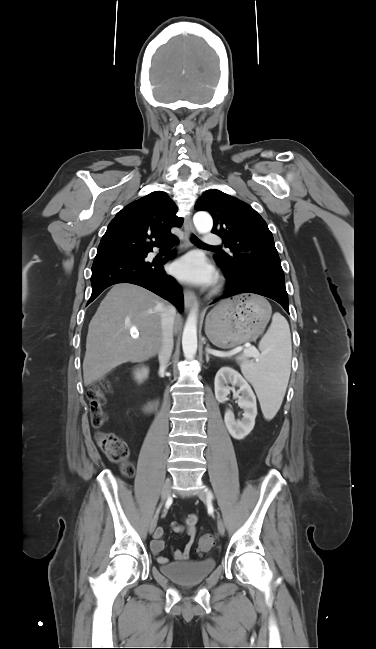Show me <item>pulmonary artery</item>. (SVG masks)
I'll list each match as a JSON object with an SVG mask.
<instances>
[{
  "label": "pulmonary artery",
  "instance_id": "1",
  "mask_svg": "<svg viewBox=\"0 0 376 649\" xmlns=\"http://www.w3.org/2000/svg\"><path fill=\"white\" fill-rule=\"evenodd\" d=\"M204 244L207 246H218L222 244V240L219 236L213 235V234H206L204 239Z\"/></svg>",
  "mask_w": 376,
  "mask_h": 649
}]
</instances>
